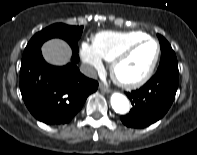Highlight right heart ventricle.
Segmentation results:
<instances>
[{"label":"right heart ventricle","mask_w":197,"mask_h":155,"mask_svg":"<svg viewBox=\"0 0 197 155\" xmlns=\"http://www.w3.org/2000/svg\"><path fill=\"white\" fill-rule=\"evenodd\" d=\"M147 37L141 31H102L93 37V47L98 55L111 62L128 45Z\"/></svg>","instance_id":"e07e8e85"}]
</instances>
